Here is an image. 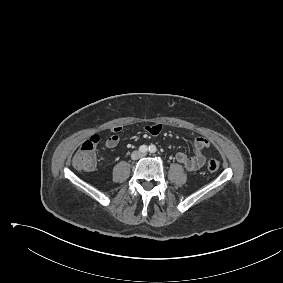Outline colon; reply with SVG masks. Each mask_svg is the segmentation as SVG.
<instances>
[{"label": "colon", "mask_w": 283, "mask_h": 283, "mask_svg": "<svg viewBox=\"0 0 283 283\" xmlns=\"http://www.w3.org/2000/svg\"><path fill=\"white\" fill-rule=\"evenodd\" d=\"M99 143L97 135L92 136L85 141L73 157V166L80 171H91L95 167L96 157L95 151ZM220 163L216 159H209L207 169L215 172L219 169Z\"/></svg>", "instance_id": "obj_1"}]
</instances>
